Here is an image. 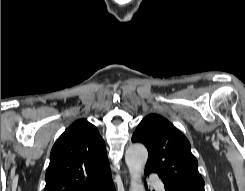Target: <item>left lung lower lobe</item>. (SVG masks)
<instances>
[{
    "instance_id": "1",
    "label": "left lung lower lobe",
    "mask_w": 245,
    "mask_h": 191,
    "mask_svg": "<svg viewBox=\"0 0 245 191\" xmlns=\"http://www.w3.org/2000/svg\"><path fill=\"white\" fill-rule=\"evenodd\" d=\"M150 173H145V175H149ZM165 190L166 191H177V190H175V189H173V188H171V187H168V186H165Z\"/></svg>"
}]
</instances>
